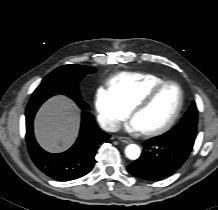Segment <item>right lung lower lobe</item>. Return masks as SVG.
I'll return each mask as SVG.
<instances>
[{
	"label": "right lung lower lobe",
	"instance_id": "obj_1",
	"mask_svg": "<svg viewBox=\"0 0 218 210\" xmlns=\"http://www.w3.org/2000/svg\"><path fill=\"white\" fill-rule=\"evenodd\" d=\"M49 95L32 96L26 108V142L29 154L35 165L55 180L69 181L88 174L95 164V154L100 143L110 135L101 131L89 112L82 113L79 137L66 152L51 154L44 151L36 142L33 133V119ZM78 106L87 110L88 105L82 99H73Z\"/></svg>",
	"mask_w": 218,
	"mask_h": 210
}]
</instances>
